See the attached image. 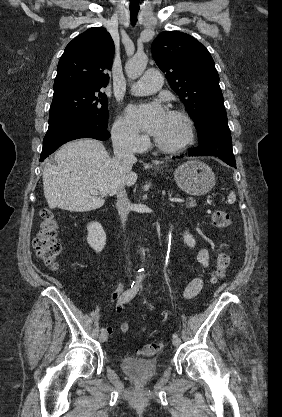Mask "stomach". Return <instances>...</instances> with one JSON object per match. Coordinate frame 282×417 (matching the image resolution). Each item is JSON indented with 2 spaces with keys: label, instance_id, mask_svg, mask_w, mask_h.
<instances>
[{
  "label": "stomach",
  "instance_id": "obj_1",
  "mask_svg": "<svg viewBox=\"0 0 282 417\" xmlns=\"http://www.w3.org/2000/svg\"><path fill=\"white\" fill-rule=\"evenodd\" d=\"M174 178L179 188L193 196L207 194L215 184V174L212 168L200 160L183 162L174 170Z\"/></svg>",
  "mask_w": 282,
  "mask_h": 417
}]
</instances>
